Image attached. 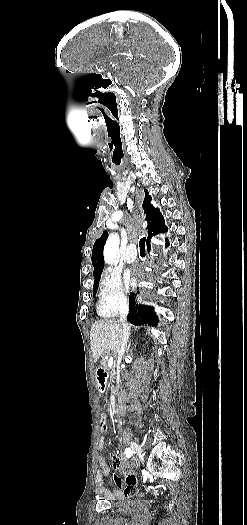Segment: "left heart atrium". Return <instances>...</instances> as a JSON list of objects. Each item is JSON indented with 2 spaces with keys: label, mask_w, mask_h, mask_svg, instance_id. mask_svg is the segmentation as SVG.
<instances>
[{
  "label": "left heart atrium",
  "mask_w": 247,
  "mask_h": 525,
  "mask_svg": "<svg viewBox=\"0 0 247 525\" xmlns=\"http://www.w3.org/2000/svg\"><path fill=\"white\" fill-rule=\"evenodd\" d=\"M134 258H135V253H134ZM134 258H133L134 261H139V260H135ZM144 275H145V272H128L127 271L126 277H125L127 285H131L137 281L142 280Z\"/></svg>",
  "instance_id": "1"
}]
</instances>
